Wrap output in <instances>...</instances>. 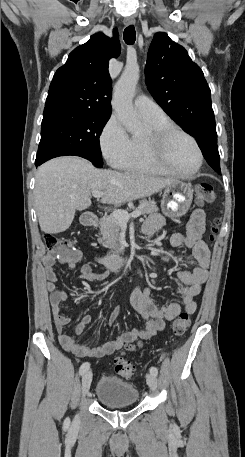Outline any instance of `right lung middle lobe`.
<instances>
[{"instance_id":"obj_1","label":"right lung middle lobe","mask_w":245,"mask_h":457,"mask_svg":"<svg viewBox=\"0 0 245 457\" xmlns=\"http://www.w3.org/2000/svg\"><path fill=\"white\" fill-rule=\"evenodd\" d=\"M111 114L89 110L43 113L41 140L35 164L64 155H76L103 166L99 136Z\"/></svg>"}]
</instances>
